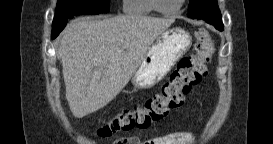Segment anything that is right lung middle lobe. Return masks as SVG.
<instances>
[{"mask_svg":"<svg viewBox=\"0 0 273 144\" xmlns=\"http://www.w3.org/2000/svg\"><path fill=\"white\" fill-rule=\"evenodd\" d=\"M109 0H58L52 23V38H56L66 26L67 19L75 15L107 13Z\"/></svg>","mask_w":273,"mask_h":144,"instance_id":"obj_1","label":"right lung middle lobe"}]
</instances>
